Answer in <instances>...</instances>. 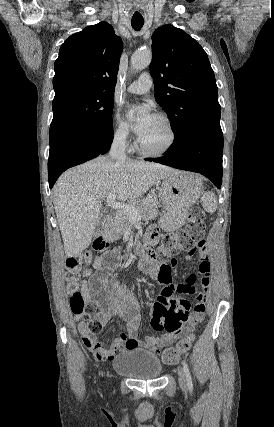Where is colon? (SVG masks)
<instances>
[{
	"label": "colon",
	"mask_w": 274,
	"mask_h": 427,
	"mask_svg": "<svg viewBox=\"0 0 274 427\" xmlns=\"http://www.w3.org/2000/svg\"><path fill=\"white\" fill-rule=\"evenodd\" d=\"M205 228L204 211L198 207L192 208L188 215L187 224L175 232L164 236L156 252L160 263L165 260H170L171 255H176L180 251L193 249L196 244V236H204ZM82 263L83 257L81 255H74L67 259L66 280L71 292L70 306L74 315L83 313V318L85 320L84 345L93 354L100 358H105L106 356L102 350L103 339L99 336L103 326L102 322L97 315L93 314L92 306L89 303L85 304L81 292L76 289L79 281L78 272ZM203 316L204 311H197V315H193L191 321L198 322L199 317ZM194 339L195 334L189 333L186 337L180 338L175 350L173 347H160L158 352L160 356H163V364H177L180 354H184L185 350L191 349Z\"/></svg>",
	"instance_id": "colon-1"
}]
</instances>
